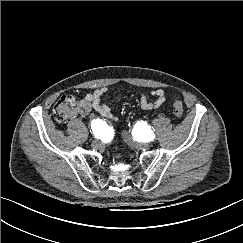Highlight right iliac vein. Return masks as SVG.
<instances>
[{"label":"right iliac vein","instance_id":"63e3f726","mask_svg":"<svg viewBox=\"0 0 243 243\" xmlns=\"http://www.w3.org/2000/svg\"><path fill=\"white\" fill-rule=\"evenodd\" d=\"M100 145V141L99 140H94L93 142H92V146L93 147H98Z\"/></svg>","mask_w":243,"mask_h":243}]
</instances>
